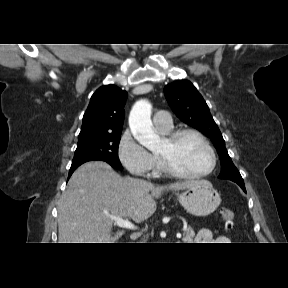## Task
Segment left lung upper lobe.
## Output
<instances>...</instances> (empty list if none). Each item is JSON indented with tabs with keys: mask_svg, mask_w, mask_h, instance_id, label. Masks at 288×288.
I'll return each instance as SVG.
<instances>
[{
	"mask_svg": "<svg viewBox=\"0 0 288 288\" xmlns=\"http://www.w3.org/2000/svg\"><path fill=\"white\" fill-rule=\"evenodd\" d=\"M164 94L174 113L183 122L211 138L221 161L219 178L228 179L236 182L239 186H244L239 171L228 155L222 134L213 120L205 100L195 86L188 80L175 81L164 87Z\"/></svg>",
	"mask_w": 288,
	"mask_h": 288,
	"instance_id": "5c2ea615",
	"label": "left lung upper lobe"
}]
</instances>
